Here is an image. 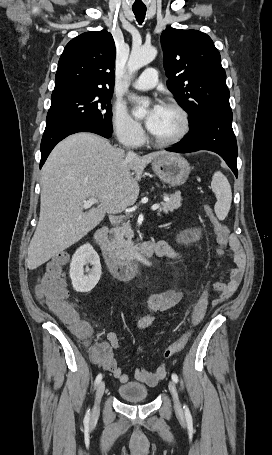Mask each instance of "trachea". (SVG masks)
Listing matches in <instances>:
<instances>
[{
  "label": "trachea",
  "mask_w": 272,
  "mask_h": 455,
  "mask_svg": "<svg viewBox=\"0 0 272 455\" xmlns=\"http://www.w3.org/2000/svg\"><path fill=\"white\" fill-rule=\"evenodd\" d=\"M132 10L136 16L138 23L141 24L145 18L146 7H133Z\"/></svg>",
  "instance_id": "trachea-1"
}]
</instances>
